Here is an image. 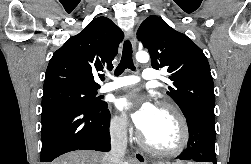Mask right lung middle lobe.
Returning a JSON list of instances; mask_svg holds the SVG:
<instances>
[{
  "mask_svg": "<svg viewBox=\"0 0 251 164\" xmlns=\"http://www.w3.org/2000/svg\"><path fill=\"white\" fill-rule=\"evenodd\" d=\"M97 90L76 87H59L43 93L42 108L51 105H72L85 108H99L105 105L97 97Z\"/></svg>",
  "mask_w": 251,
  "mask_h": 164,
  "instance_id": "dd1d6c3e",
  "label": "right lung middle lobe"
}]
</instances>
